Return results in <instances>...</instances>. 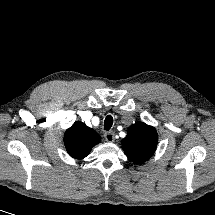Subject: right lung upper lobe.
Returning a JSON list of instances; mask_svg holds the SVG:
<instances>
[{"label":"right lung upper lobe","mask_w":215,"mask_h":215,"mask_svg":"<svg viewBox=\"0 0 215 215\" xmlns=\"http://www.w3.org/2000/svg\"><path fill=\"white\" fill-rule=\"evenodd\" d=\"M100 142L99 135L84 123L77 121L64 135V145L68 154L75 159L85 158L92 147Z\"/></svg>","instance_id":"cb5924a9"}]
</instances>
